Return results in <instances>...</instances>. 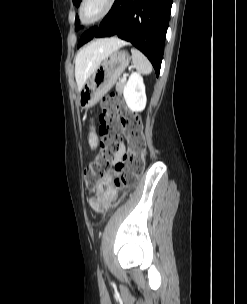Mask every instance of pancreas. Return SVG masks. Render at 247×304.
I'll list each match as a JSON object with an SVG mask.
<instances>
[{
    "label": "pancreas",
    "instance_id": "obj_1",
    "mask_svg": "<svg viewBox=\"0 0 247 304\" xmlns=\"http://www.w3.org/2000/svg\"><path fill=\"white\" fill-rule=\"evenodd\" d=\"M126 80H120L117 84H116V91L117 92H121L123 90V87L125 85Z\"/></svg>",
    "mask_w": 247,
    "mask_h": 304
}]
</instances>
